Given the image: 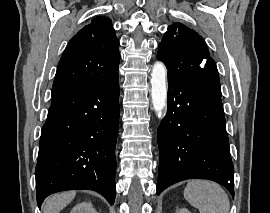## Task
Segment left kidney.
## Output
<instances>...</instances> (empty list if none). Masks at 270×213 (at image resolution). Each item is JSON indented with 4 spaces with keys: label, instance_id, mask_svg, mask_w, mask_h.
I'll use <instances>...</instances> for the list:
<instances>
[{
    "label": "left kidney",
    "instance_id": "left-kidney-1",
    "mask_svg": "<svg viewBox=\"0 0 270 213\" xmlns=\"http://www.w3.org/2000/svg\"><path fill=\"white\" fill-rule=\"evenodd\" d=\"M176 213H191V212L187 210L186 208H181V209H177Z\"/></svg>",
    "mask_w": 270,
    "mask_h": 213
}]
</instances>
